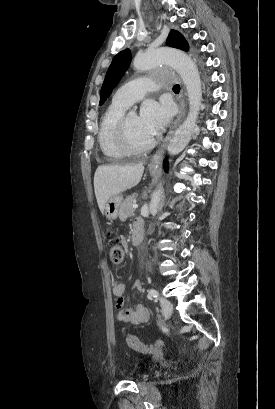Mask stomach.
<instances>
[{"label":"stomach","instance_id":"0dacf381","mask_svg":"<svg viewBox=\"0 0 275 409\" xmlns=\"http://www.w3.org/2000/svg\"><path fill=\"white\" fill-rule=\"evenodd\" d=\"M151 174H156L158 168H153L149 166ZM123 196L121 194H115V196H110L105 205V215L108 221H115L119 215L120 205H122Z\"/></svg>","mask_w":275,"mask_h":409}]
</instances>
